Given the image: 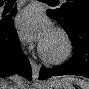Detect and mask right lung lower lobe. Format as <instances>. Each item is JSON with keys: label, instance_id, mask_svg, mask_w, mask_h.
I'll list each match as a JSON object with an SVG mask.
<instances>
[{"label": "right lung lower lobe", "instance_id": "right-lung-lower-lobe-1", "mask_svg": "<svg viewBox=\"0 0 89 89\" xmlns=\"http://www.w3.org/2000/svg\"><path fill=\"white\" fill-rule=\"evenodd\" d=\"M3 1H0V5ZM0 21V77L10 76L13 73L32 79L29 60L21 52L16 30L13 28L12 15Z\"/></svg>", "mask_w": 89, "mask_h": 89}]
</instances>
